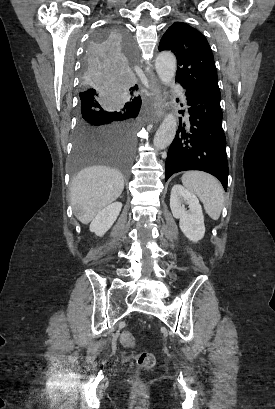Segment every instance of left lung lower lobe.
I'll use <instances>...</instances> for the list:
<instances>
[{"instance_id":"0a47b994","label":"left lung lower lobe","mask_w":275,"mask_h":409,"mask_svg":"<svg viewBox=\"0 0 275 409\" xmlns=\"http://www.w3.org/2000/svg\"><path fill=\"white\" fill-rule=\"evenodd\" d=\"M186 96L190 126L180 125L170 145L165 181L180 171L201 170L217 177L227 190L229 169L220 100L188 89Z\"/></svg>"}]
</instances>
